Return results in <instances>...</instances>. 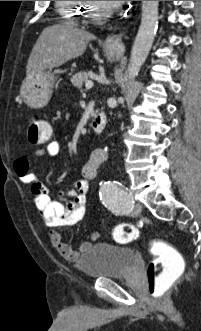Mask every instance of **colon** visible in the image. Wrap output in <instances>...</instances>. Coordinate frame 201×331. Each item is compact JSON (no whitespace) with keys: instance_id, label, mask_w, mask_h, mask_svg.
Listing matches in <instances>:
<instances>
[{"instance_id":"1","label":"colon","mask_w":201,"mask_h":331,"mask_svg":"<svg viewBox=\"0 0 201 331\" xmlns=\"http://www.w3.org/2000/svg\"><path fill=\"white\" fill-rule=\"evenodd\" d=\"M28 139L34 145L47 143L52 136L50 124L40 117H32L27 123ZM140 235V230L132 224L122 223L114 227L113 237L121 243L130 242ZM154 258L147 266L148 292L164 305L176 282L184 272V259L180 253L163 240H154L151 245Z\"/></svg>"}]
</instances>
